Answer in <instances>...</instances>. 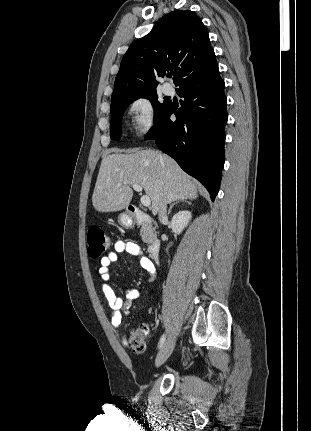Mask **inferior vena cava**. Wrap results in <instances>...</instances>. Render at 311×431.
Wrapping results in <instances>:
<instances>
[{"instance_id":"inferior-vena-cava-1","label":"inferior vena cava","mask_w":311,"mask_h":431,"mask_svg":"<svg viewBox=\"0 0 311 431\" xmlns=\"http://www.w3.org/2000/svg\"><path fill=\"white\" fill-rule=\"evenodd\" d=\"M158 217L160 221H163V219H166L167 217V204H165V202H162V204H160V208L158 210Z\"/></svg>"}]
</instances>
